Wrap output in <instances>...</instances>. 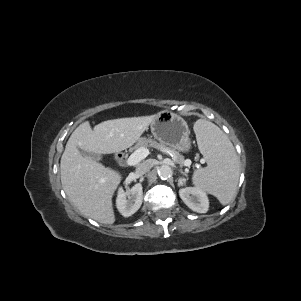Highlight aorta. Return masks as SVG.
I'll return each mask as SVG.
<instances>
[{"mask_svg": "<svg viewBox=\"0 0 301 301\" xmlns=\"http://www.w3.org/2000/svg\"><path fill=\"white\" fill-rule=\"evenodd\" d=\"M161 179H167L172 175V169L169 165H162L158 170Z\"/></svg>", "mask_w": 301, "mask_h": 301, "instance_id": "obj_1", "label": "aorta"}]
</instances>
